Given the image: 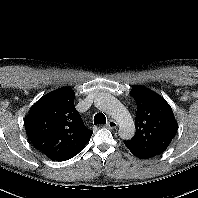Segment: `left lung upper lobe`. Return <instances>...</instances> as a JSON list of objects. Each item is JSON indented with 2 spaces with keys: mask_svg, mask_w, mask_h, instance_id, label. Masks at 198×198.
<instances>
[{
  "mask_svg": "<svg viewBox=\"0 0 198 198\" xmlns=\"http://www.w3.org/2000/svg\"><path fill=\"white\" fill-rule=\"evenodd\" d=\"M130 95L137 103L136 133L124 144L132 152L150 157L160 155L177 133L172 109L165 99L144 86L134 87Z\"/></svg>",
  "mask_w": 198,
  "mask_h": 198,
  "instance_id": "obj_1",
  "label": "left lung upper lobe"
}]
</instances>
